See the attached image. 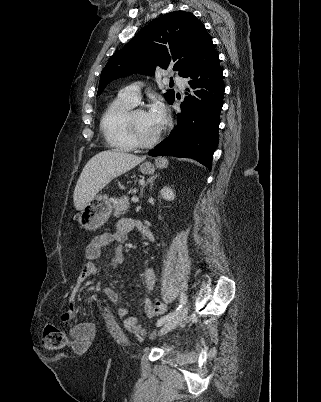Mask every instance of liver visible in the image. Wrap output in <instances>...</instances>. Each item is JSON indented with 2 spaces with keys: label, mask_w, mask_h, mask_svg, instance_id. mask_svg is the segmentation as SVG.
I'll return each instance as SVG.
<instances>
[{
  "label": "liver",
  "mask_w": 321,
  "mask_h": 402,
  "mask_svg": "<svg viewBox=\"0 0 321 402\" xmlns=\"http://www.w3.org/2000/svg\"><path fill=\"white\" fill-rule=\"evenodd\" d=\"M144 160L145 157L116 149L102 151L93 156L84 166L77 181L73 195L75 208L82 210L112 179Z\"/></svg>",
  "instance_id": "obj_1"
}]
</instances>
